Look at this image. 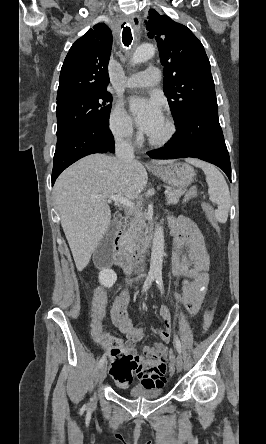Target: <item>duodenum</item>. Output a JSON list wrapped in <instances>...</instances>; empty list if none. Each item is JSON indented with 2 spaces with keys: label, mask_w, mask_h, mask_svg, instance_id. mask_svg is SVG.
Instances as JSON below:
<instances>
[{
  "label": "duodenum",
  "mask_w": 266,
  "mask_h": 444,
  "mask_svg": "<svg viewBox=\"0 0 266 444\" xmlns=\"http://www.w3.org/2000/svg\"><path fill=\"white\" fill-rule=\"evenodd\" d=\"M114 247L116 265L125 275H134L138 271L139 267L138 263L134 260L133 255L125 247L124 221L122 219L117 223Z\"/></svg>",
  "instance_id": "1"
}]
</instances>
